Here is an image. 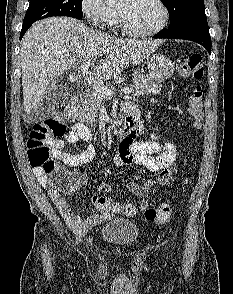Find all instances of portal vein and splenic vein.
I'll list each match as a JSON object with an SVG mask.
<instances>
[{
    "label": "portal vein and splenic vein",
    "mask_w": 233,
    "mask_h": 294,
    "mask_svg": "<svg viewBox=\"0 0 233 294\" xmlns=\"http://www.w3.org/2000/svg\"><path fill=\"white\" fill-rule=\"evenodd\" d=\"M91 63L90 61H83L80 65V70L83 76L85 77V80L88 82L89 85H91L98 93L104 95L107 98H111L115 92L111 90L107 85L102 83L100 80L94 78L91 75H88L87 71L90 67ZM133 91V87L123 88L121 90V94L129 95Z\"/></svg>",
    "instance_id": "1"
}]
</instances>
